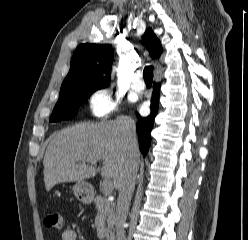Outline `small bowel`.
I'll use <instances>...</instances> for the list:
<instances>
[{
    "mask_svg": "<svg viewBox=\"0 0 248 240\" xmlns=\"http://www.w3.org/2000/svg\"><path fill=\"white\" fill-rule=\"evenodd\" d=\"M62 240H77V234L73 229H66L61 235Z\"/></svg>",
    "mask_w": 248,
    "mask_h": 240,
    "instance_id": "c3829d8e",
    "label": "small bowel"
}]
</instances>
